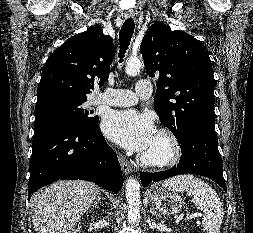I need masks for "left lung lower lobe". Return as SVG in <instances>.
I'll list each match as a JSON object with an SVG mask.
<instances>
[{
    "label": "left lung lower lobe",
    "mask_w": 253,
    "mask_h": 233,
    "mask_svg": "<svg viewBox=\"0 0 253 233\" xmlns=\"http://www.w3.org/2000/svg\"><path fill=\"white\" fill-rule=\"evenodd\" d=\"M178 142L182 149V156L178 165L156 173L141 172L142 185L147 186L151 182L192 173L214 180L227 191L214 124L199 122L189 128L185 136Z\"/></svg>",
    "instance_id": "0a47b994"
}]
</instances>
